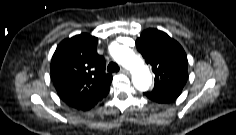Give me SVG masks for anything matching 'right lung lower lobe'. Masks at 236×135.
<instances>
[{
    "label": "right lung lower lobe",
    "instance_id": "98d812e1",
    "mask_svg": "<svg viewBox=\"0 0 236 135\" xmlns=\"http://www.w3.org/2000/svg\"><path fill=\"white\" fill-rule=\"evenodd\" d=\"M110 89V88H109ZM109 89H107L102 95L90 100V101H87V102H84V103H79V104H75V105H70L72 106L73 108H76L78 110H89L90 108H92L95 104H97L99 101H101L104 97H106V95L108 94L109 92Z\"/></svg>",
    "mask_w": 236,
    "mask_h": 135
}]
</instances>
